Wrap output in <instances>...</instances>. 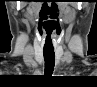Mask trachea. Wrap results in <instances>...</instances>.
<instances>
[{
	"instance_id": "1",
	"label": "trachea",
	"mask_w": 97,
	"mask_h": 87,
	"mask_svg": "<svg viewBox=\"0 0 97 87\" xmlns=\"http://www.w3.org/2000/svg\"><path fill=\"white\" fill-rule=\"evenodd\" d=\"M44 61H45V75L51 76L53 74L55 65L54 51L44 50Z\"/></svg>"
}]
</instances>
